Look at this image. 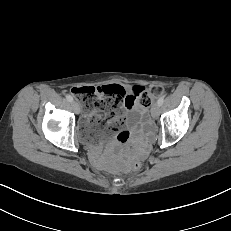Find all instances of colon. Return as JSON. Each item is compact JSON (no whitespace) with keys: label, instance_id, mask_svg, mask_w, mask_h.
Listing matches in <instances>:
<instances>
[{"label":"colon","instance_id":"5ec220e1","mask_svg":"<svg viewBox=\"0 0 231 231\" xmlns=\"http://www.w3.org/2000/svg\"><path fill=\"white\" fill-rule=\"evenodd\" d=\"M139 101L144 108L151 107L153 99L163 93V88L159 85H154L150 89L142 86H136ZM72 94L79 100L86 111L100 109L106 114L118 110L125 105L126 99L128 105L133 104L131 95H128L127 90L120 85L111 84L95 88L74 87L71 89ZM105 117V116H104ZM92 119V123L96 126L101 124L103 118ZM125 120L122 117H111L108 121V132L116 134L119 141H126L129 133L124 129ZM142 165L139 161H134L130 168L133 171H139Z\"/></svg>","mask_w":231,"mask_h":231}]
</instances>
